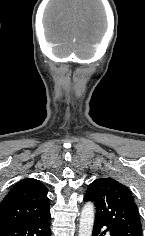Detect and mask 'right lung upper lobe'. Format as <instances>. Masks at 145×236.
I'll return each mask as SVG.
<instances>
[{
    "mask_svg": "<svg viewBox=\"0 0 145 236\" xmlns=\"http://www.w3.org/2000/svg\"><path fill=\"white\" fill-rule=\"evenodd\" d=\"M49 211L47 188L36 179H24L3 199L0 205V227L38 218Z\"/></svg>",
    "mask_w": 145,
    "mask_h": 236,
    "instance_id": "right-lung-upper-lobe-1",
    "label": "right lung upper lobe"
}]
</instances>
